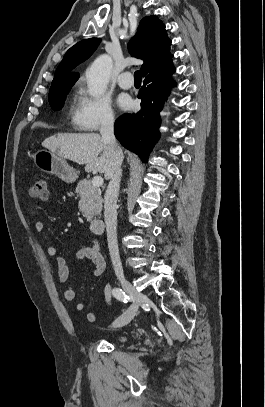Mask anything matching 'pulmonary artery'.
<instances>
[{
    "mask_svg": "<svg viewBox=\"0 0 265 407\" xmlns=\"http://www.w3.org/2000/svg\"><path fill=\"white\" fill-rule=\"evenodd\" d=\"M117 82L118 85L125 90L130 89L134 84V81L131 78V73L129 71L121 73L117 79Z\"/></svg>",
    "mask_w": 265,
    "mask_h": 407,
    "instance_id": "obj_1",
    "label": "pulmonary artery"
}]
</instances>
